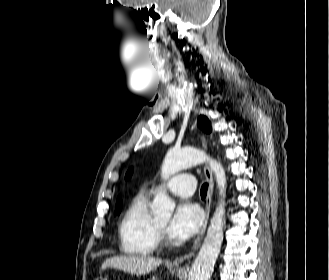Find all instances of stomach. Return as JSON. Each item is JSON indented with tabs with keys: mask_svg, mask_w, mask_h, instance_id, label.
<instances>
[{
	"mask_svg": "<svg viewBox=\"0 0 329 280\" xmlns=\"http://www.w3.org/2000/svg\"><path fill=\"white\" fill-rule=\"evenodd\" d=\"M97 280H107L106 278H103V277H100V279H97Z\"/></svg>",
	"mask_w": 329,
	"mask_h": 280,
	"instance_id": "stomach-1",
	"label": "stomach"
}]
</instances>
